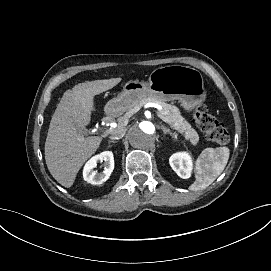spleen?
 I'll use <instances>...</instances> for the list:
<instances>
[{
	"instance_id": "obj_1",
	"label": "spleen",
	"mask_w": 271,
	"mask_h": 271,
	"mask_svg": "<svg viewBox=\"0 0 271 271\" xmlns=\"http://www.w3.org/2000/svg\"><path fill=\"white\" fill-rule=\"evenodd\" d=\"M230 157V149L227 146L207 150L196 159L194 164L195 181L189 186L190 191H198L207 188L221 175Z\"/></svg>"
}]
</instances>
